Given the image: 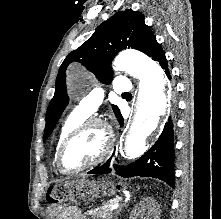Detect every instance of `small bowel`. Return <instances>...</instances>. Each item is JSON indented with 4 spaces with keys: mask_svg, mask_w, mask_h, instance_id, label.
<instances>
[{
    "mask_svg": "<svg viewBox=\"0 0 221 219\" xmlns=\"http://www.w3.org/2000/svg\"><path fill=\"white\" fill-rule=\"evenodd\" d=\"M60 219H89L78 208H58Z\"/></svg>",
    "mask_w": 221,
    "mask_h": 219,
    "instance_id": "c3829d8e",
    "label": "small bowel"
}]
</instances>
